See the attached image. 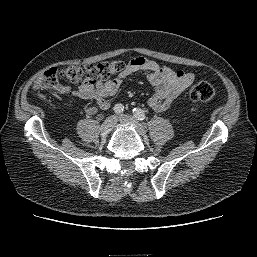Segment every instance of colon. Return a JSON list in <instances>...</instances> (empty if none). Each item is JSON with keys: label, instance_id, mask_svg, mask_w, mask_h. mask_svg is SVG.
<instances>
[{"label": "colon", "instance_id": "1", "mask_svg": "<svg viewBox=\"0 0 257 257\" xmlns=\"http://www.w3.org/2000/svg\"><path fill=\"white\" fill-rule=\"evenodd\" d=\"M127 64L122 60L102 62L98 64L71 65L62 69L56 67L45 70L37 81L39 89H53L58 85L59 79L80 85H95L105 82L114 74L125 71ZM188 96L193 102H208L215 96L214 87L207 81L193 84Z\"/></svg>", "mask_w": 257, "mask_h": 257}]
</instances>
